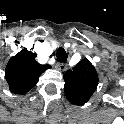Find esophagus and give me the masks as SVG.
<instances>
[{
    "label": "esophagus",
    "mask_w": 124,
    "mask_h": 124,
    "mask_svg": "<svg viewBox=\"0 0 124 124\" xmlns=\"http://www.w3.org/2000/svg\"><path fill=\"white\" fill-rule=\"evenodd\" d=\"M58 69L62 72H65L68 70V65L66 63H61L58 65Z\"/></svg>",
    "instance_id": "obj_1"
}]
</instances>
